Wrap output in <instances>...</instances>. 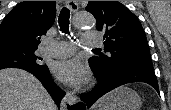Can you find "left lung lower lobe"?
<instances>
[{
    "mask_svg": "<svg viewBox=\"0 0 171 110\" xmlns=\"http://www.w3.org/2000/svg\"><path fill=\"white\" fill-rule=\"evenodd\" d=\"M98 79L97 85L87 94L81 96L87 108L107 92L126 83L144 82L151 85L159 93L154 69L142 66L116 67L103 72H94Z\"/></svg>",
    "mask_w": 171,
    "mask_h": 110,
    "instance_id": "obj_1",
    "label": "left lung lower lobe"
}]
</instances>
